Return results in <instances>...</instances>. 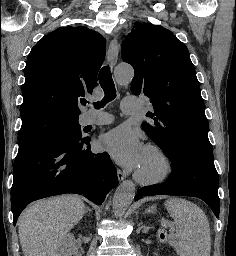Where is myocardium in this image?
Segmentation results:
<instances>
[{
	"label": "myocardium",
	"instance_id": "myocardium-1",
	"mask_svg": "<svg viewBox=\"0 0 236 256\" xmlns=\"http://www.w3.org/2000/svg\"><path fill=\"white\" fill-rule=\"evenodd\" d=\"M145 150L156 155L160 168L152 176H145L136 169L133 174L134 180L142 186H155L164 183L173 173V163L170 156L162 147L156 144H148Z\"/></svg>",
	"mask_w": 236,
	"mask_h": 256
}]
</instances>
